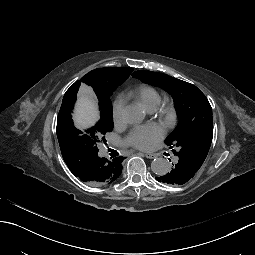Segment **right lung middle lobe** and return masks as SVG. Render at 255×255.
<instances>
[{"label":"right lung middle lobe","instance_id":"1","mask_svg":"<svg viewBox=\"0 0 255 255\" xmlns=\"http://www.w3.org/2000/svg\"><path fill=\"white\" fill-rule=\"evenodd\" d=\"M109 95L99 96L100 120L96 125L82 133L77 130L71 119V111L58 115L57 137L60 145L73 146L75 153L87 154L90 152V145L93 144L104 131L113 128V110Z\"/></svg>","mask_w":255,"mask_h":255}]
</instances>
